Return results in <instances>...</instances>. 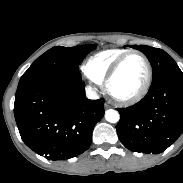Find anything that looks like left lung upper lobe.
Returning <instances> with one entry per match:
<instances>
[{
    "label": "left lung upper lobe",
    "mask_w": 183,
    "mask_h": 183,
    "mask_svg": "<svg viewBox=\"0 0 183 183\" xmlns=\"http://www.w3.org/2000/svg\"><path fill=\"white\" fill-rule=\"evenodd\" d=\"M143 52L151 63L153 81L170 73L181 71L176 62L163 50L146 45H127Z\"/></svg>",
    "instance_id": "5c2ea615"
}]
</instances>
